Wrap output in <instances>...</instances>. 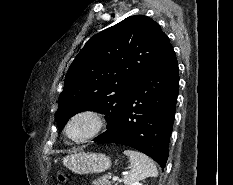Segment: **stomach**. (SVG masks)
Segmentation results:
<instances>
[{
  "mask_svg": "<svg viewBox=\"0 0 233 185\" xmlns=\"http://www.w3.org/2000/svg\"><path fill=\"white\" fill-rule=\"evenodd\" d=\"M63 164L76 174H89L109 169L111 160L102 153L75 152L64 157Z\"/></svg>",
  "mask_w": 233,
  "mask_h": 185,
  "instance_id": "0dacf381",
  "label": "stomach"
}]
</instances>
